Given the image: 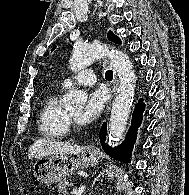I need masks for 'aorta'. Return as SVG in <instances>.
<instances>
[{"instance_id": "obj_1", "label": "aorta", "mask_w": 189, "mask_h": 195, "mask_svg": "<svg viewBox=\"0 0 189 195\" xmlns=\"http://www.w3.org/2000/svg\"><path fill=\"white\" fill-rule=\"evenodd\" d=\"M104 56L109 57L120 82L108 127V140L111 145H114L125 132L135 94L136 78L132 63L122 51L106 45L77 44L70 59V66L73 71L81 70ZM86 100L87 96L83 92L73 89L66 94L64 103L67 107L82 108Z\"/></svg>"}]
</instances>
